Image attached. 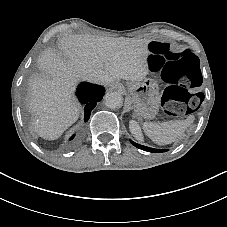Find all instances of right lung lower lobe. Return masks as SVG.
I'll return each instance as SVG.
<instances>
[{
  "label": "right lung lower lobe",
  "instance_id": "right-lung-lower-lobe-1",
  "mask_svg": "<svg viewBox=\"0 0 227 227\" xmlns=\"http://www.w3.org/2000/svg\"><path fill=\"white\" fill-rule=\"evenodd\" d=\"M104 92L105 89L99 85L87 82H83L79 85L77 89V96L79 101L85 105V121L89 119L92 109L96 106V103L102 99ZM73 138L74 136H72L70 140Z\"/></svg>",
  "mask_w": 227,
  "mask_h": 227
}]
</instances>
